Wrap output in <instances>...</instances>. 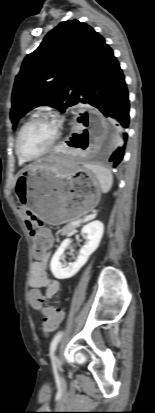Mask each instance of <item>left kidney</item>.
<instances>
[{
    "instance_id": "5707ae66",
    "label": "left kidney",
    "mask_w": 155,
    "mask_h": 413,
    "mask_svg": "<svg viewBox=\"0 0 155 413\" xmlns=\"http://www.w3.org/2000/svg\"><path fill=\"white\" fill-rule=\"evenodd\" d=\"M82 234L86 239L85 245L81 248L75 262L64 266L60 260L64 255L65 249L70 244V239H65L55 254L50 263L51 271L57 279H68L73 277L88 261L90 255L98 248L104 232V225L96 220L86 224L82 230Z\"/></svg>"
}]
</instances>
